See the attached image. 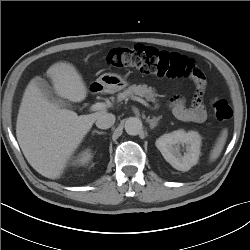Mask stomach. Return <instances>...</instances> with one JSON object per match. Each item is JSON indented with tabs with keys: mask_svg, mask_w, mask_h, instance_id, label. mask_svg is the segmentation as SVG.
<instances>
[{
	"mask_svg": "<svg viewBox=\"0 0 250 250\" xmlns=\"http://www.w3.org/2000/svg\"><path fill=\"white\" fill-rule=\"evenodd\" d=\"M96 83L108 93L118 92L129 85L128 81L124 77L115 73L102 74L98 77Z\"/></svg>",
	"mask_w": 250,
	"mask_h": 250,
	"instance_id": "obj_1",
	"label": "stomach"
}]
</instances>
